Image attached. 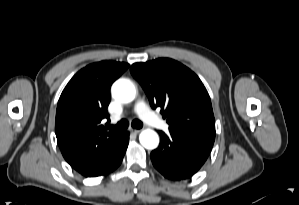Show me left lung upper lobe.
Masks as SVG:
<instances>
[{
    "instance_id": "5c2ea615",
    "label": "left lung upper lobe",
    "mask_w": 299,
    "mask_h": 205,
    "mask_svg": "<svg viewBox=\"0 0 299 205\" xmlns=\"http://www.w3.org/2000/svg\"><path fill=\"white\" fill-rule=\"evenodd\" d=\"M132 75L145 90L151 106L161 108L170 132L185 131L215 136L209 94L198 76L181 63L160 58L135 63Z\"/></svg>"
}]
</instances>
